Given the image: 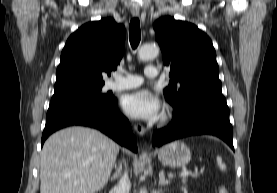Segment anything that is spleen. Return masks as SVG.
Here are the masks:
<instances>
[{
	"label": "spleen",
	"instance_id": "1",
	"mask_svg": "<svg viewBox=\"0 0 277 193\" xmlns=\"http://www.w3.org/2000/svg\"><path fill=\"white\" fill-rule=\"evenodd\" d=\"M216 161H217V165H218L219 169L221 171H225L226 170V164L223 163L222 158L220 156H217Z\"/></svg>",
	"mask_w": 277,
	"mask_h": 193
}]
</instances>
